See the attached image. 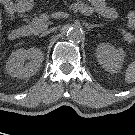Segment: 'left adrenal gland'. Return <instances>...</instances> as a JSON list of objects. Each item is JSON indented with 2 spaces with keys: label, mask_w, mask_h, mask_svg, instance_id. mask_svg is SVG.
Wrapping results in <instances>:
<instances>
[{
  "label": "left adrenal gland",
  "mask_w": 135,
  "mask_h": 135,
  "mask_svg": "<svg viewBox=\"0 0 135 135\" xmlns=\"http://www.w3.org/2000/svg\"><path fill=\"white\" fill-rule=\"evenodd\" d=\"M86 28L90 31L92 28H96V27H100V25H96V24H85Z\"/></svg>",
  "instance_id": "1"
}]
</instances>
